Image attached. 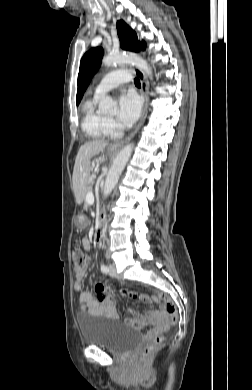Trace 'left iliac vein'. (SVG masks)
Listing matches in <instances>:
<instances>
[{
    "instance_id": "4c4485c4",
    "label": "left iliac vein",
    "mask_w": 252,
    "mask_h": 390,
    "mask_svg": "<svg viewBox=\"0 0 252 390\" xmlns=\"http://www.w3.org/2000/svg\"><path fill=\"white\" fill-rule=\"evenodd\" d=\"M109 275L111 277H117V271L114 264L109 265Z\"/></svg>"
}]
</instances>
